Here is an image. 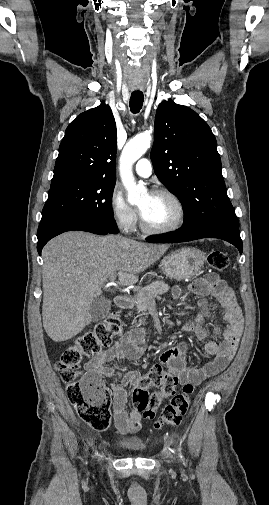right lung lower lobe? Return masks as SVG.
Instances as JSON below:
<instances>
[{
	"label": "right lung lower lobe",
	"mask_w": 269,
	"mask_h": 505,
	"mask_svg": "<svg viewBox=\"0 0 269 505\" xmlns=\"http://www.w3.org/2000/svg\"><path fill=\"white\" fill-rule=\"evenodd\" d=\"M72 230L91 232L94 234L106 235L111 233L98 225L65 216H56L40 222L37 232V250L41 255L43 246L53 237Z\"/></svg>",
	"instance_id": "obj_1"
}]
</instances>
